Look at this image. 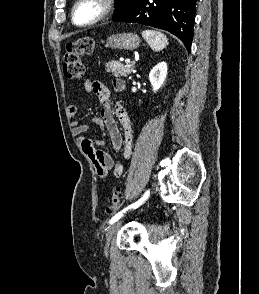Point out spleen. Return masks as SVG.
<instances>
[{"label":"spleen","instance_id":"spleen-1","mask_svg":"<svg viewBox=\"0 0 259 294\" xmlns=\"http://www.w3.org/2000/svg\"><path fill=\"white\" fill-rule=\"evenodd\" d=\"M142 36L153 51H161L168 45L167 37L159 31L145 30Z\"/></svg>","mask_w":259,"mask_h":294}]
</instances>
